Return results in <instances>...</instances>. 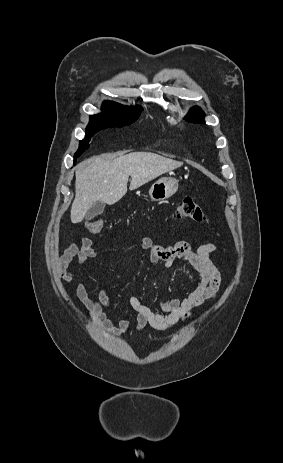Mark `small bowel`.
<instances>
[{
  "instance_id": "c3829d8e",
  "label": "small bowel",
  "mask_w": 283,
  "mask_h": 463,
  "mask_svg": "<svg viewBox=\"0 0 283 463\" xmlns=\"http://www.w3.org/2000/svg\"><path fill=\"white\" fill-rule=\"evenodd\" d=\"M140 247L149 252L152 264L160 263L169 267L176 259L185 260L197 272L199 281L185 296L161 302L158 310L145 305L137 297H131L129 306L137 314V331H142L147 326L156 331L170 329L190 316L195 308L215 298L221 285V273L211 260V255L216 250L214 244L206 243L194 249L189 242L180 241L173 246L164 247L155 244L150 237L143 236ZM96 256L97 252L89 238L82 239L80 247L70 244L58 260L61 278L66 283H71L72 265L75 263L80 267H87L90 259ZM76 295L97 324L116 335L128 330L129 322L126 319L120 318L114 325L104 314L103 308L111 306L110 298L104 289H100L96 297L91 298L85 283L79 282Z\"/></svg>"
}]
</instances>
